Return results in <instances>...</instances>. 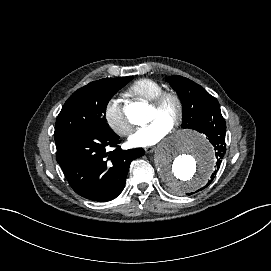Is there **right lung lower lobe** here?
I'll return each mask as SVG.
<instances>
[{
  "label": "right lung lower lobe",
  "mask_w": 271,
  "mask_h": 271,
  "mask_svg": "<svg viewBox=\"0 0 271 271\" xmlns=\"http://www.w3.org/2000/svg\"><path fill=\"white\" fill-rule=\"evenodd\" d=\"M55 142L57 162L72 189L97 202L116 198L124 188L130 163L144 155L142 148L122 151L112 132H74ZM106 146L116 149L106 152Z\"/></svg>",
  "instance_id": "1"
}]
</instances>
